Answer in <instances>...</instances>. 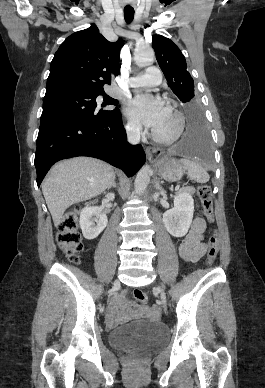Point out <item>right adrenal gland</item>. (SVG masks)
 <instances>
[{
    "instance_id": "right-adrenal-gland-1",
    "label": "right adrenal gland",
    "mask_w": 265,
    "mask_h": 388,
    "mask_svg": "<svg viewBox=\"0 0 265 388\" xmlns=\"http://www.w3.org/2000/svg\"><path fill=\"white\" fill-rule=\"evenodd\" d=\"M116 178H113V182L111 184V186H109L108 190H110V188H117V184L115 182Z\"/></svg>"
}]
</instances>
